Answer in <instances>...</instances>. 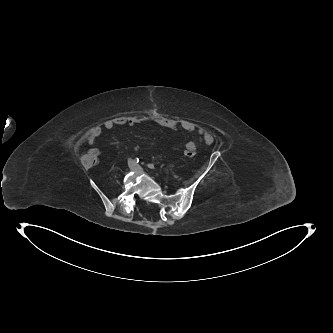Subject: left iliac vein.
I'll return each instance as SVG.
<instances>
[{
	"label": "left iliac vein",
	"instance_id": "obj_1",
	"mask_svg": "<svg viewBox=\"0 0 333 333\" xmlns=\"http://www.w3.org/2000/svg\"><path fill=\"white\" fill-rule=\"evenodd\" d=\"M136 171H138L139 173H146L145 170L141 167V166H136Z\"/></svg>",
	"mask_w": 333,
	"mask_h": 333
}]
</instances>
